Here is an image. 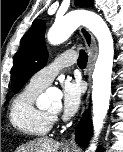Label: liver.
<instances>
[{"instance_id": "6515ba94", "label": "liver", "mask_w": 123, "mask_h": 152, "mask_svg": "<svg viewBox=\"0 0 123 152\" xmlns=\"http://www.w3.org/2000/svg\"><path fill=\"white\" fill-rule=\"evenodd\" d=\"M59 143L51 138H39L19 147L16 152H58Z\"/></svg>"}]
</instances>
